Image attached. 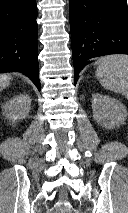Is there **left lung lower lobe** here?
Listing matches in <instances>:
<instances>
[{
  "mask_svg": "<svg viewBox=\"0 0 128 213\" xmlns=\"http://www.w3.org/2000/svg\"><path fill=\"white\" fill-rule=\"evenodd\" d=\"M75 84L90 58L128 54L126 0H69Z\"/></svg>",
  "mask_w": 128,
  "mask_h": 213,
  "instance_id": "obj_1",
  "label": "left lung lower lobe"
}]
</instances>
